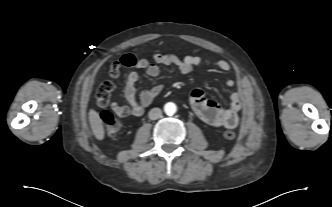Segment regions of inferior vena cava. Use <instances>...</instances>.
I'll list each match as a JSON object with an SVG mask.
<instances>
[{
	"instance_id": "obj_1",
	"label": "inferior vena cava",
	"mask_w": 332,
	"mask_h": 207,
	"mask_svg": "<svg viewBox=\"0 0 332 207\" xmlns=\"http://www.w3.org/2000/svg\"><path fill=\"white\" fill-rule=\"evenodd\" d=\"M162 116V111L160 108H153L149 111V118L151 120L159 119Z\"/></svg>"
}]
</instances>
